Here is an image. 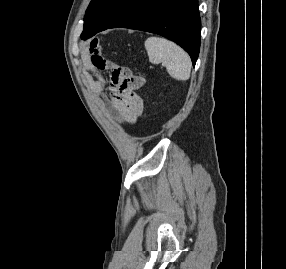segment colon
Here are the masks:
<instances>
[{"instance_id":"colon-1","label":"colon","mask_w":286,"mask_h":269,"mask_svg":"<svg viewBox=\"0 0 286 269\" xmlns=\"http://www.w3.org/2000/svg\"><path fill=\"white\" fill-rule=\"evenodd\" d=\"M112 83L117 89L118 95L123 100L124 110H143L144 100L140 91L144 88L146 78L134 75L128 65H115L111 68Z\"/></svg>"}]
</instances>
